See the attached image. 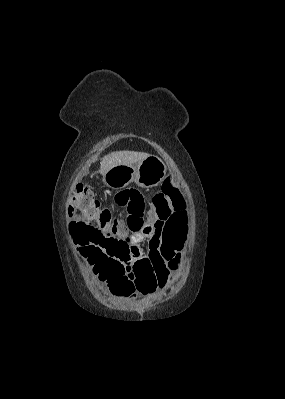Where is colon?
I'll return each instance as SVG.
<instances>
[{
	"label": "colon",
	"instance_id": "colon-1",
	"mask_svg": "<svg viewBox=\"0 0 285 399\" xmlns=\"http://www.w3.org/2000/svg\"><path fill=\"white\" fill-rule=\"evenodd\" d=\"M115 202L126 209L123 223L128 234L119 232L121 221L111 212L110 204L100 203L90 187L77 184L68 211L79 212L80 218L71 221L69 229L86 260L111 266L98 274L113 293L131 297L153 292L158 282L177 268L178 252L186 241L185 233L173 230L186 219L183 201L177 188L166 180L162 191L147 202L136 190L120 192ZM147 210L156 211L161 221L156 228L162 231L165 242L163 249L151 250L148 257H141L132 236L142 231ZM125 265L130 278L119 282Z\"/></svg>",
	"mask_w": 285,
	"mask_h": 399
}]
</instances>
